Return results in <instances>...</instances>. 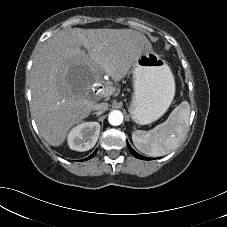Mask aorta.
<instances>
[{"label": "aorta", "mask_w": 227, "mask_h": 227, "mask_svg": "<svg viewBox=\"0 0 227 227\" xmlns=\"http://www.w3.org/2000/svg\"><path fill=\"white\" fill-rule=\"evenodd\" d=\"M108 121L113 126H118L123 122V114L119 110H114L110 112L108 116Z\"/></svg>", "instance_id": "aorta-1"}]
</instances>
